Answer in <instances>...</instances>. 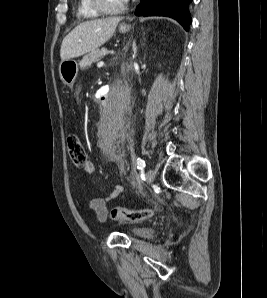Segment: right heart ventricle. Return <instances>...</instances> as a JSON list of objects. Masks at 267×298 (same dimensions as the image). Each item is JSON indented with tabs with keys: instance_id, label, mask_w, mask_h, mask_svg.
Masks as SVG:
<instances>
[{
	"instance_id": "e07e8e85",
	"label": "right heart ventricle",
	"mask_w": 267,
	"mask_h": 298,
	"mask_svg": "<svg viewBox=\"0 0 267 298\" xmlns=\"http://www.w3.org/2000/svg\"><path fill=\"white\" fill-rule=\"evenodd\" d=\"M77 16L82 19L93 20L99 18L101 14L93 7L91 0H79Z\"/></svg>"
}]
</instances>
